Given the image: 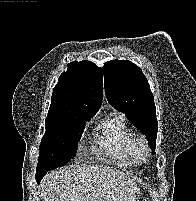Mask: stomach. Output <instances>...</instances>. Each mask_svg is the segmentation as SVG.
<instances>
[{"mask_svg": "<svg viewBox=\"0 0 196 201\" xmlns=\"http://www.w3.org/2000/svg\"><path fill=\"white\" fill-rule=\"evenodd\" d=\"M129 201H136V198H135V200H129Z\"/></svg>", "mask_w": 196, "mask_h": 201, "instance_id": "0dacf381", "label": "stomach"}]
</instances>
